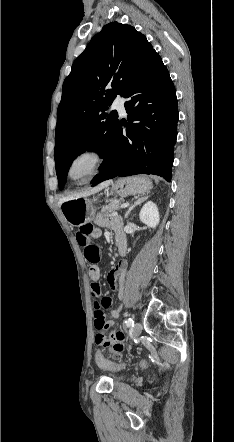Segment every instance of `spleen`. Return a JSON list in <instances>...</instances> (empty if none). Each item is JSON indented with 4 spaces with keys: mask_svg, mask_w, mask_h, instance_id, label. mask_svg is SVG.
Returning <instances> with one entry per match:
<instances>
[{
    "mask_svg": "<svg viewBox=\"0 0 234 442\" xmlns=\"http://www.w3.org/2000/svg\"><path fill=\"white\" fill-rule=\"evenodd\" d=\"M156 183H158V179H155Z\"/></svg>",
    "mask_w": 234,
    "mask_h": 442,
    "instance_id": "spleen-1",
    "label": "spleen"
}]
</instances>
